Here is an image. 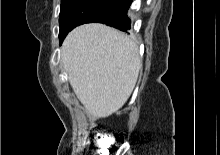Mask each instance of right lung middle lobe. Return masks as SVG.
Instances as JSON below:
<instances>
[{
	"instance_id": "dd1d6c3e",
	"label": "right lung middle lobe",
	"mask_w": 220,
	"mask_h": 155,
	"mask_svg": "<svg viewBox=\"0 0 220 155\" xmlns=\"http://www.w3.org/2000/svg\"><path fill=\"white\" fill-rule=\"evenodd\" d=\"M122 2L123 0H61L60 42L76 26L87 23L93 17L116 7Z\"/></svg>"
}]
</instances>
